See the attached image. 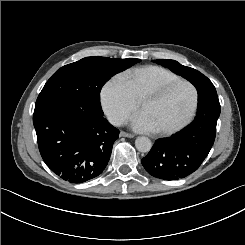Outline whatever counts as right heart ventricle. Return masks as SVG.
I'll list each match as a JSON object with an SVG mask.
<instances>
[{
  "label": "right heart ventricle",
  "instance_id": "right-heart-ventricle-1",
  "mask_svg": "<svg viewBox=\"0 0 245 245\" xmlns=\"http://www.w3.org/2000/svg\"><path fill=\"white\" fill-rule=\"evenodd\" d=\"M117 78L128 88L132 98L137 101L142 90L151 84L174 82L181 79L178 75L159 66H142L127 70Z\"/></svg>",
  "mask_w": 245,
  "mask_h": 245
}]
</instances>
